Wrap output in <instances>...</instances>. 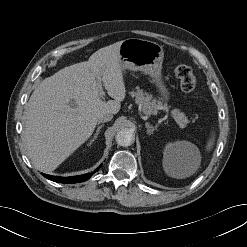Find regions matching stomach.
I'll return each mask as SVG.
<instances>
[{"label":"stomach","instance_id":"1","mask_svg":"<svg viewBox=\"0 0 247 247\" xmlns=\"http://www.w3.org/2000/svg\"><path fill=\"white\" fill-rule=\"evenodd\" d=\"M163 58V47L149 40L128 38L121 42L119 48L121 69L148 74L161 94V100L166 102L170 94L161 77Z\"/></svg>","mask_w":247,"mask_h":247}]
</instances>
